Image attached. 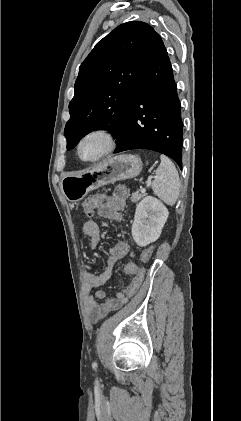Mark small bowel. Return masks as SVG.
<instances>
[{
	"label": "small bowel",
	"mask_w": 241,
	"mask_h": 421,
	"mask_svg": "<svg viewBox=\"0 0 241 421\" xmlns=\"http://www.w3.org/2000/svg\"><path fill=\"white\" fill-rule=\"evenodd\" d=\"M127 188L119 185L113 194L98 207V215L105 219L119 220L120 211L125 207ZM83 233L89 238L90 247L97 248L101 239V231L95 219H87L82 225ZM131 254V249L126 241H118L109 251L105 267L102 272L84 273L83 298L87 315L91 322L95 323L105 317L109 312L121 308L127 301L119 292L113 296H107L102 290H97L105 285L111 278L113 269L118 260Z\"/></svg>",
	"instance_id": "obj_1"
}]
</instances>
